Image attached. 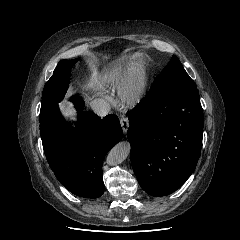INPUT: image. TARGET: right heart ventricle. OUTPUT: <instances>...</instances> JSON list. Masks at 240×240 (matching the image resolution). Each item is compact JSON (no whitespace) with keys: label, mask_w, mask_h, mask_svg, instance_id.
<instances>
[{"label":"right heart ventricle","mask_w":240,"mask_h":240,"mask_svg":"<svg viewBox=\"0 0 240 240\" xmlns=\"http://www.w3.org/2000/svg\"><path fill=\"white\" fill-rule=\"evenodd\" d=\"M131 67L136 72H141L140 61L130 63L127 58H122L113 63L101 74V81L104 84H118L120 81L122 82L126 71Z\"/></svg>","instance_id":"e07e8e85"}]
</instances>
